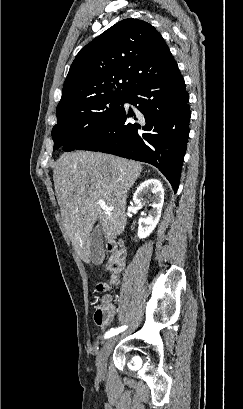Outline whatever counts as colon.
Segmentation results:
<instances>
[{
	"instance_id": "5ec220e1",
	"label": "colon",
	"mask_w": 243,
	"mask_h": 409,
	"mask_svg": "<svg viewBox=\"0 0 243 409\" xmlns=\"http://www.w3.org/2000/svg\"><path fill=\"white\" fill-rule=\"evenodd\" d=\"M109 256L107 258L105 267L111 274L112 281L115 282L120 277L125 266V250L122 243L119 240L113 241L108 245ZM106 284H99L97 286L98 291L107 289ZM110 314V310L105 305H99L94 313V320L98 325H102Z\"/></svg>"
}]
</instances>
